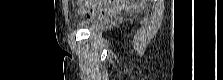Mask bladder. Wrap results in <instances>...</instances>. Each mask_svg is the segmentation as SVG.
Returning a JSON list of instances; mask_svg holds the SVG:
<instances>
[{"mask_svg": "<svg viewBox=\"0 0 223 80\" xmlns=\"http://www.w3.org/2000/svg\"><path fill=\"white\" fill-rule=\"evenodd\" d=\"M110 20L111 18L108 15H96L82 20L78 26L89 32H98L107 27Z\"/></svg>", "mask_w": 223, "mask_h": 80, "instance_id": "1", "label": "bladder"}]
</instances>
